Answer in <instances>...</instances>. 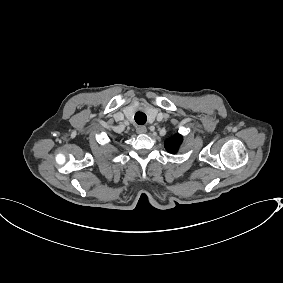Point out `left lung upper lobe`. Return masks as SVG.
I'll list each match as a JSON object with an SVG mask.
<instances>
[{
	"label": "left lung upper lobe",
	"mask_w": 283,
	"mask_h": 283,
	"mask_svg": "<svg viewBox=\"0 0 283 283\" xmlns=\"http://www.w3.org/2000/svg\"><path fill=\"white\" fill-rule=\"evenodd\" d=\"M182 135L174 134L172 137L165 141V148L168 152L175 154L177 153L181 143H182Z\"/></svg>",
	"instance_id": "obj_1"
}]
</instances>
